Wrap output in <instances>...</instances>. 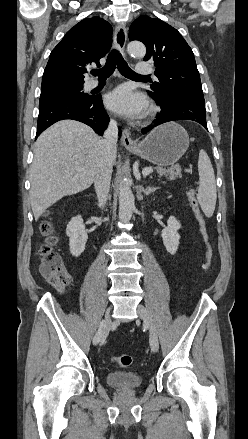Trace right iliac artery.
Wrapping results in <instances>:
<instances>
[{
	"label": "right iliac artery",
	"mask_w": 248,
	"mask_h": 439,
	"mask_svg": "<svg viewBox=\"0 0 248 439\" xmlns=\"http://www.w3.org/2000/svg\"><path fill=\"white\" fill-rule=\"evenodd\" d=\"M104 323L100 322L99 325L97 326V329L95 330V335L93 336V341L92 344L96 345L98 340L100 339L101 335H102V329L104 327Z\"/></svg>",
	"instance_id": "82829eb1"
}]
</instances>
